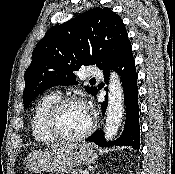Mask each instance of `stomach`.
Masks as SVG:
<instances>
[{
	"label": "stomach",
	"instance_id": "0dacf381",
	"mask_svg": "<svg viewBox=\"0 0 175 174\" xmlns=\"http://www.w3.org/2000/svg\"><path fill=\"white\" fill-rule=\"evenodd\" d=\"M97 158V152L90 144H79L73 148H51L30 153L26 166L35 173L50 171L68 173L75 166L89 165Z\"/></svg>",
	"mask_w": 175,
	"mask_h": 174
}]
</instances>
